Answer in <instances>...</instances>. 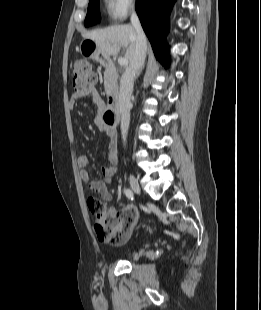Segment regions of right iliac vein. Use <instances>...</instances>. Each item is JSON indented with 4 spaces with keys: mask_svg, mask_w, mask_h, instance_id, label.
<instances>
[{
    "mask_svg": "<svg viewBox=\"0 0 261 310\" xmlns=\"http://www.w3.org/2000/svg\"><path fill=\"white\" fill-rule=\"evenodd\" d=\"M129 182H130V186L132 190L134 191V193L140 195L141 190H140V186H139L137 179L134 176L130 175Z\"/></svg>",
    "mask_w": 261,
    "mask_h": 310,
    "instance_id": "63e3f726",
    "label": "right iliac vein"
}]
</instances>
